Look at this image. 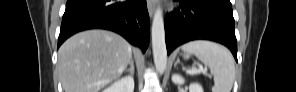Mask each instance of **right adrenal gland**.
Returning <instances> with one entry per match:
<instances>
[{"mask_svg":"<svg viewBox=\"0 0 296 92\" xmlns=\"http://www.w3.org/2000/svg\"><path fill=\"white\" fill-rule=\"evenodd\" d=\"M126 71H128L131 74V76H133L134 75V71H135L134 65L131 64L130 68L129 69H126Z\"/></svg>","mask_w":296,"mask_h":92,"instance_id":"obj_1","label":"right adrenal gland"}]
</instances>
